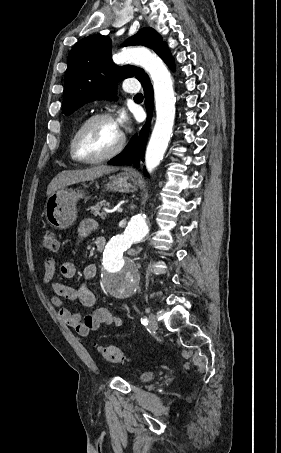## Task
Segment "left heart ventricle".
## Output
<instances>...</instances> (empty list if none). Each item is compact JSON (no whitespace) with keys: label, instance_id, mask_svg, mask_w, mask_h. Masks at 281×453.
I'll return each instance as SVG.
<instances>
[{"label":"left heart ventricle","instance_id":"1","mask_svg":"<svg viewBox=\"0 0 281 453\" xmlns=\"http://www.w3.org/2000/svg\"><path fill=\"white\" fill-rule=\"evenodd\" d=\"M121 129L115 122L96 121L85 130L80 141V153L92 159L111 151L119 142Z\"/></svg>","mask_w":281,"mask_h":453}]
</instances>
